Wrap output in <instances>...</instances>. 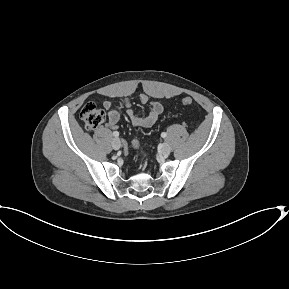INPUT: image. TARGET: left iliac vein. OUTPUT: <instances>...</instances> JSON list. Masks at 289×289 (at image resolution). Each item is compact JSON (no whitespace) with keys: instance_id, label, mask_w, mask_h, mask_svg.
Masks as SVG:
<instances>
[{"instance_id":"left-iliac-vein-1","label":"left iliac vein","mask_w":289,"mask_h":289,"mask_svg":"<svg viewBox=\"0 0 289 289\" xmlns=\"http://www.w3.org/2000/svg\"><path fill=\"white\" fill-rule=\"evenodd\" d=\"M161 150H162V153L164 155H168L171 152V147H170V145L168 143H163L162 147H161Z\"/></svg>"}]
</instances>
